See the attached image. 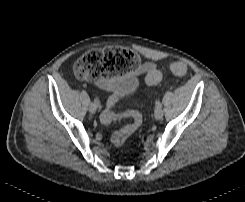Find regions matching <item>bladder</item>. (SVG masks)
I'll return each instance as SVG.
<instances>
[{"mask_svg": "<svg viewBox=\"0 0 245 202\" xmlns=\"http://www.w3.org/2000/svg\"><path fill=\"white\" fill-rule=\"evenodd\" d=\"M136 89V79L133 77H121L117 80L113 90L120 94L121 98H126Z\"/></svg>", "mask_w": 245, "mask_h": 202, "instance_id": "1", "label": "bladder"}]
</instances>
